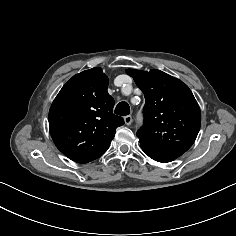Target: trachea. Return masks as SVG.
Wrapping results in <instances>:
<instances>
[{
    "label": "trachea",
    "mask_w": 236,
    "mask_h": 236,
    "mask_svg": "<svg viewBox=\"0 0 236 236\" xmlns=\"http://www.w3.org/2000/svg\"><path fill=\"white\" fill-rule=\"evenodd\" d=\"M115 114L120 115V116H126L130 114V107L128 103L126 102H120L115 108Z\"/></svg>",
    "instance_id": "obj_1"
}]
</instances>
